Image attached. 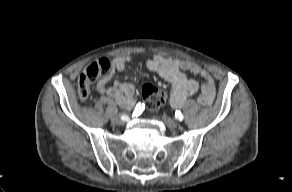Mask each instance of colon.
<instances>
[{"label": "colon", "mask_w": 292, "mask_h": 192, "mask_svg": "<svg viewBox=\"0 0 292 192\" xmlns=\"http://www.w3.org/2000/svg\"><path fill=\"white\" fill-rule=\"evenodd\" d=\"M111 68L110 61L105 58L96 60L87 66L78 79L77 93L79 98L86 100L90 95L93 81L108 74ZM142 96L149 110L159 108L166 100L165 91L150 84L143 86Z\"/></svg>", "instance_id": "obj_1"}]
</instances>
